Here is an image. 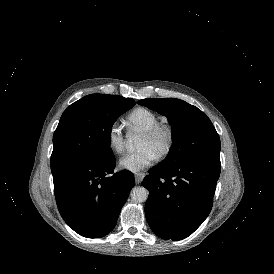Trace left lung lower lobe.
I'll return each instance as SVG.
<instances>
[{
    "label": "left lung lower lobe",
    "mask_w": 274,
    "mask_h": 274,
    "mask_svg": "<svg viewBox=\"0 0 274 274\" xmlns=\"http://www.w3.org/2000/svg\"><path fill=\"white\" fill-rule=\"evenodd\" d=\"M219 175L220 159L211 157L151 168L143 186L150 193L145 215L152 231L167 240L191 235L210 213Z\"/></svg>",
    "instance_id": "0a47b994"
}]
</instances>
